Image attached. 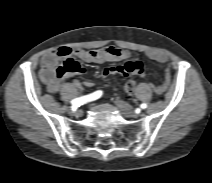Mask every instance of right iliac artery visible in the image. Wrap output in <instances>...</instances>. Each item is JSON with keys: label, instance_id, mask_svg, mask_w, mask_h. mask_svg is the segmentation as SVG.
I'll return each instance as SVG.
<instances>
[{"label": "right iliac artery", "instance_id": "82829eb1", "mask_svg": "<svg viewBox=\"0 0 212 183\" xmlns=\"http://www.w3.org/2000/svg\"><path fill=\"white\" fill-rule=\"evenodd\" d=\"M102 95V91H96L92 94H89V95H86V96H82V97H79V98H76V99H73L71 101V104H72V110L75 111L77 109V107L87 103V102H90V101H93V100H96L98 99L100 96Z\"/></svg>", "mask_w": 212, "mask_h": 183}]
</instances>
